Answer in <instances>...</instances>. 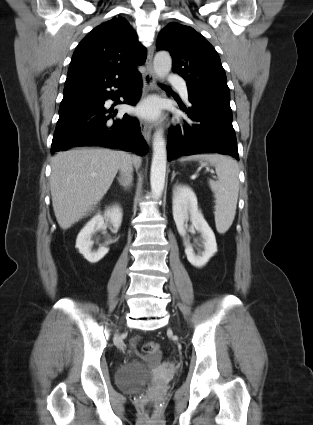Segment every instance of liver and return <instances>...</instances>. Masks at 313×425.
<instances>
[{
	"label": "liver",
	"instance_id": "6515ba94",
	"mask_svg": "<svg viewBox=\"0 0 313 425\" xmlns=\"http://www.w3.org/2000/svg\"><path fill=\"white\" fill-rule=\"evenodd\" d=\"M129 154L102 148L59 152L52 159L50 189L59 226L67 230L89 215L110 188ZM139 165L141 159L132 157Z\"/></svg>",
	"mask_w": 313,
	"mask_h": 425
}]
</instances>
